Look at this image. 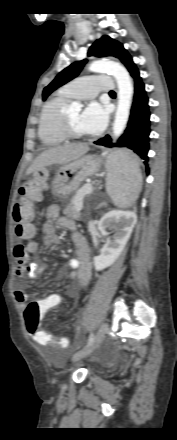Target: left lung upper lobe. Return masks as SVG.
<instances>
[{
	"mask_svg": "<svg viewBox=\"0 0 177 440\" xmlns=\"http://www.w3.org/2000/svg\"><path fill=\"white\" fill-rule=\"evenodd\" d=\"M88 56L105 57L113 56L122 61L130 72L132 68L136 67L132 61L129 53L124 49L123 45L118 41L113 40L107 35H104L98 39L89 49ZM87 62L86 59L78 62L72 63L70 66L62 70L56 78L44 88L43 90V100H45L48 95L75 78L79 72L82 70L84 64Z\"/></svg>",
	"mask_w": 177,
	"mask_h": 440,
	"instance_id": "obj_1",
	"label": "left lung upper lobe"
}]
</instances>
